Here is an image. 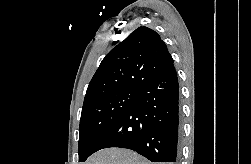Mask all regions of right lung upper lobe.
<instances>
[{"label": "right lung upper lobe", "instance_id": "cb5924a9", "mask_svg": "<svg viewBox=\"0 0 251 164\" xmlns=\"http://www.w3.org/2000/svg\"><path fill=\"white\" fill-rule=\"evenodd\" d=\"M173 66V59L158 33L139 27L102 60L86 91L84 103L123 88L139 89Z\"/></svg>", "mask_w": 251, "mask_h": 164}]
</instances>
